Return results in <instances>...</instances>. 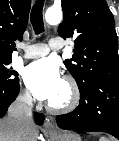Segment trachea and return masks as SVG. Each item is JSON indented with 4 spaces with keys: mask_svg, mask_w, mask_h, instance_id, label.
<instances>
[{
    "mask_svg": "<svg viewBox=\"0 0 119 141\" xmlns=\"http://www.w3.org/2000/svg\"><path fill=\"white\" fill-rule=\"evenodd\" d=\"M43 5L44 0H37L30 14V21L36 34H40L44 31V23L42 16Z\"/></svg>",
    "mask_w": 119,
    "mask_h": 141,
    "instance_id": "obj_1",
    "label": "trachea"
}]
</instances>
